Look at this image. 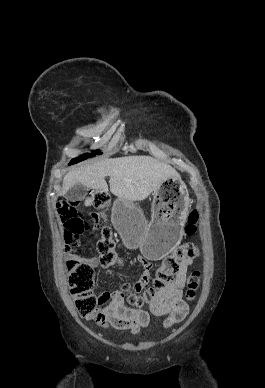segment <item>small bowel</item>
<instances>
[{"mask_svg": "<svg viewBox=\"0 0 265 388\" xmlns=\"http://www.w3.org/2000/svg\"><path fill=\"white\" fill-rule=\"evenodd\" d=\"M91 203L87 199L84 202L85 206ZM94 220H97L96 214L91 215ZM71 255L68 253V258ZM84 262L96 267L99 263L97 258L82 259ZM137 262L142 267V274L139 280L133 286L137 292L147 288L152 279L153 264L148 259L139 256ZM193 264V259H188L180 263L179 269L176 272L174 280L167 286L166 289L159 291L153 302L150 304V312L154 316H166L165 326H171L181 322L188 313V306L183 301V289L187 280L189 267ZM109 275L113 272L108 270ZM99 305L102 307L100 311L104 315V320L101 323L104 327H111L114 330L130 331L137 334L142 328H145L150 323V314L142 309L130 308L125 305L124 295L121 290L113 292L104 291L99 295Z\"/></svg>", "mask_w": 265, "mask_h": 388, "instance_id": "obj_1", "label": "small bowel"}]
</instances>
